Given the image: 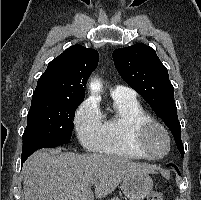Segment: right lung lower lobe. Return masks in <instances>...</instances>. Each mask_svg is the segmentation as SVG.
Listing matches in <instances>:
<instances>
[{"mask_svg": "<svg viewBox=\"0 0 201 200\" xmlns=\"http://www.w3.org/2000/svg\"><path fill=\"white\" fill-rule=\"evenodd\" d=\"M70 142V140L66 139L49 138L46 136L38 135L25 137L23 138L21 166L34 151L40 148H53Z\"/></svg>", "mask_w": 201, "mask_h": 200, "instance_id": "right-lung-lower-lobe-1", "label": "right lung lower lobe"}]
</instances>
